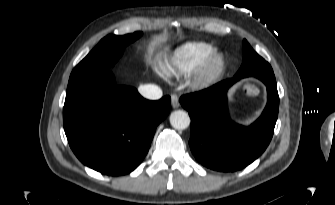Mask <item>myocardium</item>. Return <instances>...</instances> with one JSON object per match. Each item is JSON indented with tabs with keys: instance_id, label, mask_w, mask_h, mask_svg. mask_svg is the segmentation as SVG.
Returning a JSON list of instances; mask_svg holds the SVG:
<instances>
[{
	"instance_id": "1",
	"label": "myocardium",
	"mask_w": 335,
	"mask_h": 205,
	"mask_svg": "<svg viewBox=\"0 0 335 205\" xmlns=\"http://www.w3.org/2000/svg\"><path fill=\"white\" fill-rule=\"evenodd\" d=\"M226 59L222 52L214 50L194 71L192 84L197 89H206L214 85L223 75Z\"/></svg>"
}]
</instances>
